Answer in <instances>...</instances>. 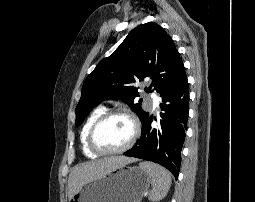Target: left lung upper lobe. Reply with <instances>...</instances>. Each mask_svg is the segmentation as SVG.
<instances>
[{
    "label": "left lung upper lobe",
    "mask_w": 255,
    "mask_h": 202,
    "mask_svg": "<svg viewBox=\"0 0 255 202\" xmlns=\"http://www.w3.org/2000/svg\"><path fill=\"white\" fill-rule=\"evenodd\" d=\"M185 74V68L171 37L154 22L141 24L133 29L121 45L107 58L101 60L86 78L79 104L76 107V126L103 98L121 99L139 116L141 122L148 115L140 103L137 88L127 84L135 78L152 80L160 95L172 88ZM152 92V91H151ZM141 102V100H139Z\"/></svg>",
    "instance_id": "1"
}]
</instances>
